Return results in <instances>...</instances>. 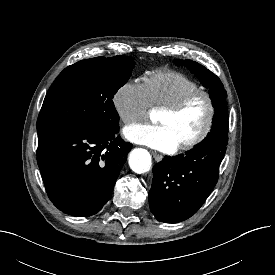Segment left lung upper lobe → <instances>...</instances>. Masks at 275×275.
<instances>
[{"label":"left lung upper lobe","mask_w":275,"mask_h":275,"mask_svg":"<svg viewBox=\"0 0 275 275\" xmlns=\"http://www.w3.org/2000/svg\"><path fill=\"white\" fill-rule=\"evenodd\" d=\"M177 65H185L191 73L199 78L200 82L209 88L210 98L215 109L211 131L201 143L218 142L227 145L228 142V108L227 93L220 79L207 68L191 60H175Z\"/></svg>","instance_id":"left-lung-upper-lobe-1"}]
</instances>
